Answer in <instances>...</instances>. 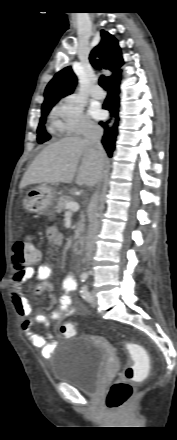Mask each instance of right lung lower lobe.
Returning <instances> with one entry per match:
<instances>
[{"mask_svg": "<svg viewBox=\"0 0 177 440\" xmlns=\"http://www.w3.org/2000/svg\"><path fill=\"white\" fill-rule=\"evenodd\" d=\"M110 90L108 92L107 98L103 104V108L108 110L111 116L115 117V123L112 128H108V123L100 122L99 124L105 128L104 135L102 137V143L108 156H112V152L115 149L116 136L118 134V112H119V84H120V73H117L111 79L108 80Z\"/></svg>", "mask_w": 177, "mask_h": 440, "instance_id": "98d812e1", "label": "right lung lower lobe"}]
</instances>
